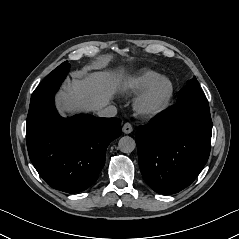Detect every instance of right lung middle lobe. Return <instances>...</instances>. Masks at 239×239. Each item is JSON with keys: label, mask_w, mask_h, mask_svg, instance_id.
I'll return each mask as SVG.
<instances>
[{"label": "right lung middle lobe", "mask_w": 239, "mask_h": 239, "mask_svg": "<svg viewBox=\"0 0 239 239\" xmlns=\"http://www.w3.org/2000/svg\"><path fill=\"white\" fill-rule=\"evenodd\" d=\"M69 68L70 64L67 61L63 62L61 65L55 68L35 89V91L32 94V97H35L39 93L43 92L44 90L55 84L61 83L66 77Z\"/></svg>", "instance_id": "1"}]
</instances>
